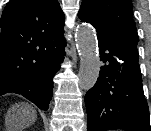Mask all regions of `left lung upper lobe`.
Wrapping results in <instances>:
<instances>
[{
    "instance_id": "1",
    "label": "left lung upper lobe",
    "mask_w": 151,
    "mask_h": 131,
    "mask_svg": "<svg viewBox=\"0 0 151 131\" xmlns=\"http://www.w3.org/2000/svg\"><path fill=\"white\" fill-rule=\"evenodd\" d=\"M78 17L92 24L128 59L139 61L136 25L132 18L131 0H83Z\"/></svg>"
}]
</instances>
